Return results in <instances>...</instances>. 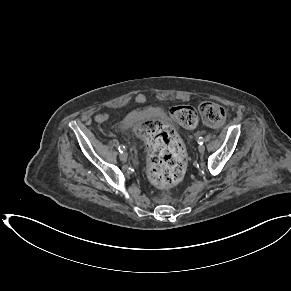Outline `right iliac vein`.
<instances>
[{
  "instance_id": "obj_1",
  "label": "right iliac vein",
  "mask_w": 291,
  "mask_h": 291,
  "mask_svg": "<svg viewBox=\"0 0 291 291\" xmlns=\"http://www.w3.org/2000/svg\"><path fill=\"white\" fill-rule=\"evenodd\" d=\"M119 157H120V160L123 162H126L128 159V155L126 152L121 153Z\"/></svg>"
}]
</instances>
